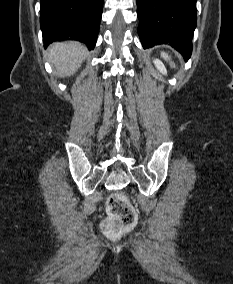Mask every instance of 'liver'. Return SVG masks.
<instances>
[{
	"mask_svg": "<svg viewBox=\"0 0 233 284\" xmlns=\"http://www.w3.org/2000/svg\"><path fill=\"white\" fill-rule=\"evenodd\" d=\"M49 59L60 76L73 75L85 60L87 49L79 42H57L48 48Z\"/></svg>",
	"mask_w": 233,
	"mask_h": 284,
	"instance_id": "obj_1",
	"label": "liver"
}]
</instances>
